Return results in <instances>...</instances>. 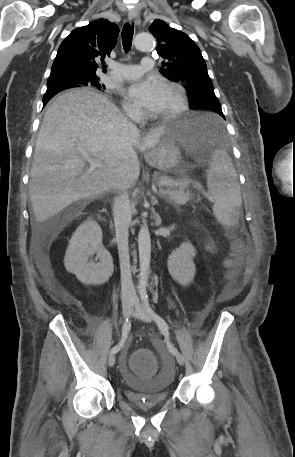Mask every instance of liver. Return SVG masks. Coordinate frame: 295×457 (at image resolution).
<instances>
[{"instance_id":"6515ba94","label":"liver","mask_w":295,"mask_h":457,"mask_svg":"<svg viewBox=\"0 0 295 457\" xmlns=\"http://www.w3.org/2000/svg\"><path fill=\"white\" fill-rule=\"evenodd\" d=\"M164 129H139L106 97L94 90L72 89L48 106L36 140L29 196L38 222L72 203L95 198L120 184L132 187L140 174L134 148H154ZM84 155L101 160L88 168Z\"/></svg>"}]
</instances>
